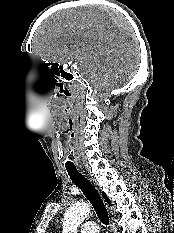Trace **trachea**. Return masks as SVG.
Listing matches in <instances>:
<instances>
[{"label":"trachea","instance_id":"3493384b","mask_svg":"<svg viewBox=\"0 0 174 233\" xmlns=\"http://www.w3.org/2000/svg\"><path fill=\"white\" fill-rule=\"evenodd\" d=\"M70 179L75 183L84 193L86 198L92 204L99 220L104 224H109V215L105 208V205L95 187L91 182L85 178L76 167H66Z\"/></svg>","mask_w":174,"mask_h":233}]
</instances>
